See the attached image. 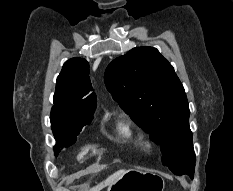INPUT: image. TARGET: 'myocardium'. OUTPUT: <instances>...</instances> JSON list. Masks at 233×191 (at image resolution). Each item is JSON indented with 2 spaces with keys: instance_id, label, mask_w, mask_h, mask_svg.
<instances>
[{
  "instance_id": "obj_1",
  "label": "myocardium",
  "mask_w": 233,
  "mask_h": 191,
  "mask_svg": "<svg viewBox=\"0 0 233 191\" xmlns=\"http://www.w3.org/2000/svg\"><path fill=\"white\" fill-rule=\"evenodd\" d=\"M147 145L151 146V141L150 140L147 141Z\"/></svg>"
}]
</instances>
